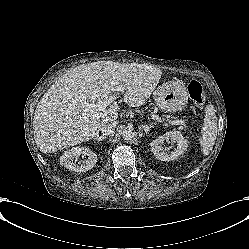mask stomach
I'll list each match as a JSON object with an SVG mask.
<instances>
[{
  "mask_svg": "<svg viewBox=\"0 0 249 249\" xmlns=\"http://www.w3.org/2000/svg\"><path fill=\"white\" fill-rule=\"evenodd\" d=\"M153 98L162 111L176 112L186 106L189 96L184 84L171 81L160 85L153 92Z\"/></svg>",
  "mask_w": 249,
  "mask_h": 249,
  "instance_id": "stomach-1",
  "label": "stomach"
}]
</instances>
